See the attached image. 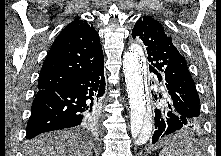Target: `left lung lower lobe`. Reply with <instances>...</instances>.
Wrapping results in <instances>:
<instances>
[{
    "label": "left lung lower lobe",
    "mask_w": 221,
    "mask_h": 156,
    "mask_svg": "<svg viewBox=\"0 0 221 156\" xmlns=\"http://www.w3.org/2000/svg\"><path fill=\"white\" fill-rule=\"evenodd\" d=\"M153 73L156 75L159 82L163 81L164 83V78L159 72L154 71ZM154 97L155 99L159 98V104L158 107L155 108V131L152 137V143H156L164 136L176 131L195 128L200 125L201 120H197L178 110L168 94L159 93L158 95L155 94Z\"/></svg>",
    "instance_id": "0a47b994"
}]
</instances>
